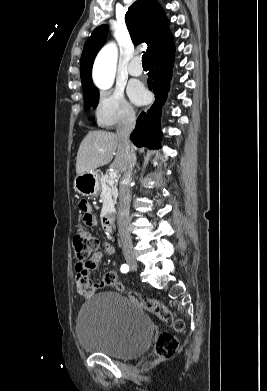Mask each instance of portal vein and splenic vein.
Here are the masks:
<instances>
[{"label":"portal vein and splenic vein","instance_id":"obj_1","mask_svg":"<svg viewBox=\"0 0 267 391\" xmlns=\"http://www.w3.org/2000/svg\"><path fill=\"white\" fill-rule=\"evenodd\" d=\"M109 175H110L111 178H114V179H116L118 177L116 171L111 172Z\"/></svg>","mask_w":267,"mask_h":391}]
</instances>
